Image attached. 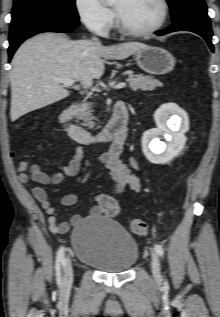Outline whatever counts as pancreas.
<instances>
[{"mask_svg":"<svg viewBox=\"0 0 220 317\" xmlns=\"http://www.w3.org/2000/svg\"><path fill=\"white\" fill-rule=\"evenodd\" d=\"M126 81L129 82L130 88L133 91L138 89L143 91H152L160 85V82L157 79L151 76H145L143 74L130 75ZM91 108L92 104L86 103L79 113V119L83 120L82 125L88 127L89 129H92L95 126V123L92 121L94 117L92 116L93 110Z\"/></svg>","mask_w":220,"mask_h":317,"instance_id":"obj_1","label":"pancreas"}]
</instances>
